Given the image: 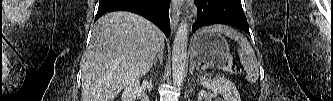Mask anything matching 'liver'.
I'll use <instances>...</instances> for the list:
<instances>
[{"instance_id":"1","label":"liver","mask_w":333,"mask_h":101,"mask_svg":"<svg viewBox=\"0 0 333 101\" xmlns=\"http://www.w3.org/2000/svg\"><path fill=\"white\" fill-rule=\"evenodd\" d=\"M163 48V33L145 18L125 11L102 16L82 62V101H114Z\"/></svg>"}]
</instances>
